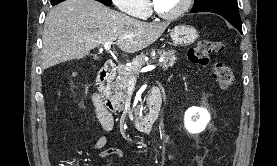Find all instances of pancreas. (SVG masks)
I'll list each match as a JSON object with an SVG mask.
<instances>
[{
    "instance_id": "pancreas-1",
    "label": "pancreas",
    "mask_w": 277,
    "mask_h": 166,
    "mask_svg": "<svg viewBox=\"0 0 277 166\" xmlns=\"http://www.w3.org/2000/svg\"><path fill=\"white\" fill-rule=\"evenodd\" d=\"M156 56L164 58V61L160 65L164 70H166L174 65L176 60V51L152 50L151 57L156 58ZM144 58L145 55L141 54L133 59L131 66H119L117 69L118 77L112 83L111 87L114 91L112 100L120 110L130 111V107H126V102L128 100L127 89L129 87V81L131 78H135L138 75V71L145 64ZM138 111V108L134 110L135 115H138Z\"/></svg>"
}]
</instances>
